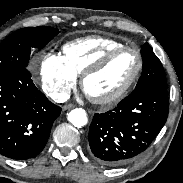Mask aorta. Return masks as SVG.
Here are the masks:
<instances>
[{"label":"aorta","mask_w":183,"mask_h":183,"mask_svg":"<svg viewBox=\"0 0 183 183\" xmlns=\"http://www.w3.org/2000/svg\"><path fill=\"white\" fill-rule=\"evenodd\" d=\"M68 121L75 127H83L87 124L88 118L85 110L73 109L67 115Z\"/></svg>","instance_id":"obj_1"}]
</instances>
